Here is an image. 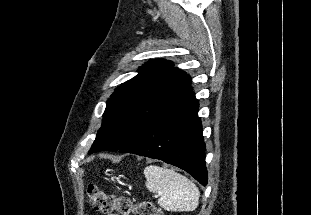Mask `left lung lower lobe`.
I'll return each mask as SVG.
<instances>
[{
	"label": "left lung lower lobe",
	"instance_id": "obj_1",
	"mask_svg": "<svg viewBox=\"0 0 311 215\" xmlns=\"http://www.w3.org/2000/svg\"><path fill=\"white\" fill-rule=\"evenodd\" d=\"M191 85L159 110L121 152L162 160L207 184L205 143Z\"/></svg>",
	"mask_w": 311,
	"mask_h": 215
}]
</instances>
